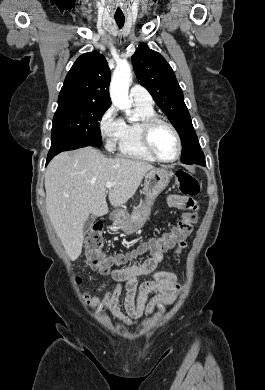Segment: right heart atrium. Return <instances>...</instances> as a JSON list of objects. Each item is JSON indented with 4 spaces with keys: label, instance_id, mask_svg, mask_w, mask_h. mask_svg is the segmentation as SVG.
<instances>
[{
    "label": "right heart atrium",
    "instance_id": "1",
    "mask_svg": "<svg viewBox=\"0 0 265 390\" xmlns=\"http://www.w3.org/2000/svg\"><path fill=\"white\" fill-rule=\"evenodd\" d=\"M123 120L114 105L109 106L99 119V132L108 149H112L119 137Z\"/></svg>",
    "mask_w": 265,
    "mask_h": 390
}]
</instances>
